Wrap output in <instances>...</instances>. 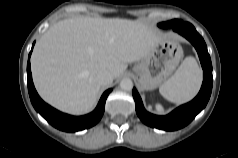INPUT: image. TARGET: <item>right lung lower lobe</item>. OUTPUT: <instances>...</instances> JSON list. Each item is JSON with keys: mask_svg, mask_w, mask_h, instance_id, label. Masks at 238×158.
Wrapping results in <instances>:
<instances>
[{"mask_svg": "<svg viewBox=\"0 0 238 158\" xmlns=\"http://www.w3.org/2000/svg\"><path fill=\"white\" fill-rule=\"evenodd\" d=\"M30 55L31 52L29 54V58ZM27 84L30 100L35 110L41 114L52 126L66 132L83 130L98 123L103 116L107 96L112 91V89H108L104 92L96 109L93 112L85 116L75 117L59 112L58 110L46 104L39 97L33 85L29 59L27 63Z\"/></svg>", "mask_w": 238, "mask_h": 158, "instance_id": "98d812e1", "label": "right lung lower lobe"}]
</instances>
